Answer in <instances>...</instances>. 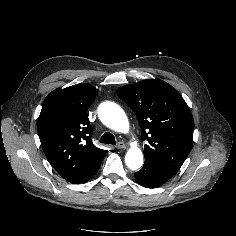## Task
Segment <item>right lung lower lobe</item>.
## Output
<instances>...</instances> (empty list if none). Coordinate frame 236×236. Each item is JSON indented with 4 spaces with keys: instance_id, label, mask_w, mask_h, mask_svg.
I'll return each instance as SVG.
<instances>
[{
    "instance_id": "98d812e1",
    "label": "right lung lower lobe",
    "mask_w": 236,
    "mask_h": 236,
    "mask_svg": "<svg viewBox=\"0 0 236 236\" xmlns=\"http://www.w3.org/2000/svg\"><path fill=\"white\" fill-rule=\"evenodd\" d=\"M99 167L97 169H95L91 174H89L85 179H83L82 181H80L78 183H85V182H87L90 179V177H92L98 171Z\"/></svg>"
}]
</instances>
